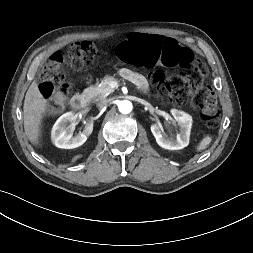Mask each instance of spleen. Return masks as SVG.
Instances as JSON below:
<instances>
[{
    "mask_svg": "<svg viewBox=\"0 0 253 253\" xmlns=\"http://www.w3.org/2000/svg\"><path fill=\"white\" fill-rule=\"evenodd\" d=\"M210 143H211V138L209 136L204 137L196 148L197 152H201L205 150L209 146Z\"/></svg>",
    "mask_w": 253,
    "mask_h": 253,
    "instance_id": "1",
    "label": "spleen"
}]
</instances>
